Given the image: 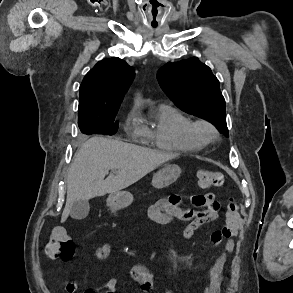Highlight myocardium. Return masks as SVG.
<instances>
[{
  "label": "myocardium",
  "mask_w": 293,
  "mask_h": 293,
  "mask_svg": "<svg viewBox=\"0 0 293 293\" xmlns=\"http://www.w3.org/2000/svg\"><path fill=\"white\" fill-rule=\"evenodd\" d=\"M189 133L192 140L200 146L211 142L218 136V131L214 124L205 119L191 121Z\"/></svg>",
  "instance_id": "obj_1"
}]
</instances>
